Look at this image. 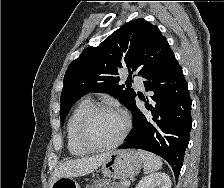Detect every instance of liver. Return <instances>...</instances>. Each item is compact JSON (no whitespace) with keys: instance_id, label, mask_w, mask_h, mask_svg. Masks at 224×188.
Here are the masks:
<instances>
[{"instance_id":"liver-1","label":"liver","mask_w":224,"mask_h":188,"mask_svg":"<svg viewBox=\"0 0 224 188\" xmlns=\"http://www.w3.org/2000/svg\"><path fill=\"white\" fill-rule=\"evenodd\" d=\"M111 155V152L90 157L71 159L61 163L53 172L50 185L61 177H78L92 173L100 167Z\"/></svg>"}]
</instances>
